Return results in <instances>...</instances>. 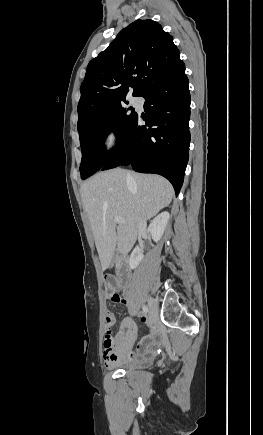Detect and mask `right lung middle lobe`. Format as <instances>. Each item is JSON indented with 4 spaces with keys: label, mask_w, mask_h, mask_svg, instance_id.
<instances>
[{
    "label": "right lung middle lobe",
    "mask_w": 263,
    "mask_h": 435,
    "mask_svg": "<svg viewBox=\"0 0 263 435\" xmlns=\"http://www.w3.org/2000/svg\"><path fill=\"white\" fill-rule=\"evenodd\" d=\"M123 102L127 103L126 101ZM123 102L112 105L91 122L78 128L82 151L80 165L82 179H86L101 169L115 151V149L105 151L104 140L106 135L114 130L120 144L133 125L137 113L131 108H124ZM129 110H131V113Z\"/></svg>",
    "instance_id": "1"
}]
</instances>
